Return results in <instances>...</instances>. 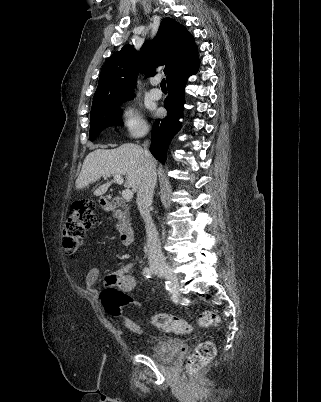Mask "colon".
<instances>
[{"label": "colon", "instance_id": "colon-1", "mask_svg": "<svg viewBox=\"0 0 321 402\" xmlns=\"http://www.w3.org/2000/svg\"><path fill=\"white\" fill-rule=\"evenodd\" d=\"M96 222L94 205L90 201L76 202L70 208L63 228V244L69 254H74L81 246L85 234ZM102 305L110 316L118 317L122 309L131 302V297L117 287H107L101 293ZM152 324L162 331L185 333L192 326L184 319L165 313L152 316ZM197 324L200 327H217L220 317L213 311H203L199 314ZM216 355L215 345L210 341L199 343L189 355L186 371L195 374L206 366Z\"/></svg>", "mask_w": 321, "mask_h": 402}]
</instances>
